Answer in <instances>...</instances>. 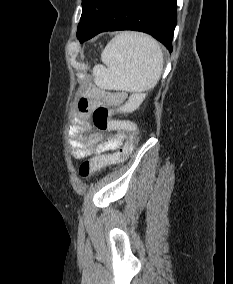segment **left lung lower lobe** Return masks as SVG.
<instances>
[{
  "instance_id": "obj_1",
  "label": "left lung lower lobe",
  "mask_w": 233,
  "mask_h": 284,
  "mask_svg": "<svg viewBox=\"0 0 233 284\" xmlns=\"http://www.w3.org/2000/svg\"><path fill=\"white\" fill-rule=\"evenodd\" d=\"M177 0H106L92 26L79 39L89 40L105 31L135 30L148 33L172 51L177 22Z\"/></svg>"
}]
</instances>
